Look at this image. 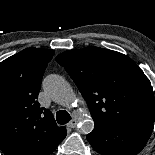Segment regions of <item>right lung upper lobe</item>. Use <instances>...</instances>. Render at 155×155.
Wrapping results in <instances>:
<instances>
[{
	"label": "right lung upper lobe",
	"mask_w": 155,
	"mask_h": 155,
	"mask_svg": "<svg viewBox=\"0 0 155 155\" xmlns=\"http://www.w3.org/2000/svg\"><path fill=\"white\" fill-rule=\"evenodd\" d=\"M54 52L27 48L0 63V149L6 155H49L66 136L37 101Z\"/></svg>",
	"instance_id": "1"
}]
</instances>
